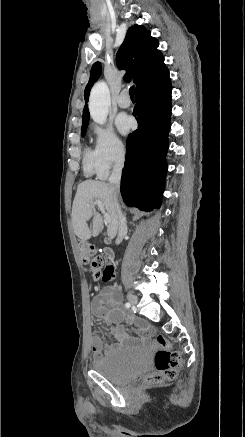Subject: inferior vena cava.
<instances>
[{"instance_id":"1","label":"inferior vena cava","mask_w":245,"mask_h":437,"mask_svg":"<svg viewBox=\"0 0 245 437\" xmlns=\"http://www.w3.org/2000/svg\"><path fill=\"white\" fill-rule=\"evenodd\" d=\"M124 158H125V152L124 149L121 148L116 157L111 176L109 177V184L114 191V206L118 217V237L116 239L117 244L121 242L122 236L127 230L126 219L122 215L117 199L120 189V179H121L122 169L124 166Z\"/></svg>"}]
</instances>
